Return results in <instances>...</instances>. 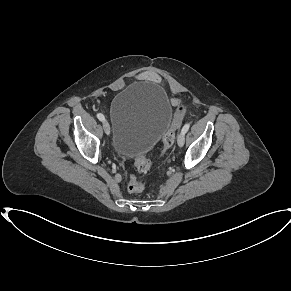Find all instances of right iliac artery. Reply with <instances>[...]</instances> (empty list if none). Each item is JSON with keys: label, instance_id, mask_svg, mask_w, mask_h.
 Returning <instances> with one entry per match:
<instances>
[{"label": "right iliac artery", "instance_id": "1", "mask_svg": "<svg viewBox=\"0 0 291 291\" xmlns=\"http://www.w3.org/2000/svg\"><path fill=\"white\" fill-rule=\"evenodd\" d=\"M97 118H98L100 121H104V120H105L104 115L101 114V113H98V114H97Z\"/></svg>", "mask_w": 291, "mask_h": 291}]
</instances>
